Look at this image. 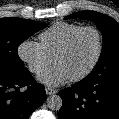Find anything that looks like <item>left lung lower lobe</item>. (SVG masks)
I'll use <instances>...</instances> for the list:
<instances>
[{"instance_id": "0a47b994", "label": "left lung lower lobe", "mask_w": 119, "mask_h": 119, "mask_svg": "<svg viewBox=\"0 0 119 119\" xmlns=\"http://www.w3.org/2000/svg\"><path fill=\"white\" fill-rule=\"evenodd\" d=\"M59 95L58 119H119V73L87 76Z\"/></svg>"}]
</instances>
